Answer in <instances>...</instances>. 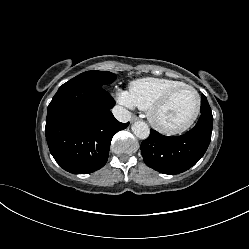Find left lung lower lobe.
I'll list each match as a JSON object with an SVG mask.
<instances>
[{
  "label": "left lung lower lobe",
  "instance_id": "obj_1",
  "mask_svg": "<svg viewBox=\"0 0 249 249\" xmlns=\"http://www.w3.org/2000/svg\"><path fill=\"white\" fill-rule=\"evenodd\" d=\"M213 116L201 114L198 123L187 133L168 137L151 129L149 137L141 143L144 162L164 174H179L192 166L206 152L212 133Z\"/></svg>",
  "mask_w": 249,
  "mask_h": 249
}]
</instances>
